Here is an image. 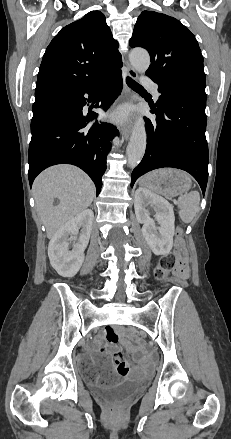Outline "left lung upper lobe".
I'll return each instance as SVG.
<instances>
[{
	"mask_svg": "<svg viewBox=\"0 0 231 439\" xmlns=\"http://www.w3.org/2000/svg\"><path fill=\"white\" fill-rule=\"evenodd\" d=\"M131 47L151 57L146 74L157 84H189L205 88L203 56L195 36L177 19L143 11L134 26Z\"/></svg>",
	"mask_w": 231,
	"mask_h": 439,
	"instance_id": "left-lung-upper-lobe-1",
	"label": "left lung upper lobe"
}]
</instances>
